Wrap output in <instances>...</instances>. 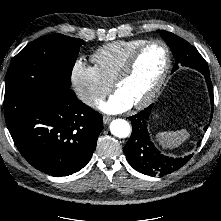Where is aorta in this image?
<instances>
[{
    "label": "aorta",
    "instance_id": "1",
    "mask_svg": "<svg viewBox=\"0 0 221 221\" xmlns=\"http://www.w3.org/2000/svg\"><path fill=\"white\" fill-rule=\"evenodd\" d=\"M110 132L118 138H126L131 133V126L124 119H115L110 123Z\"/></svg>",
    "mask_w": 221,
    "mask_h": 221
}]
</instances>
